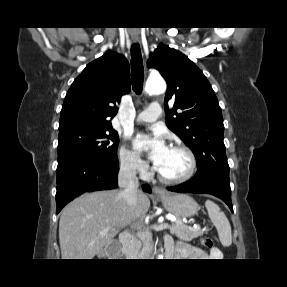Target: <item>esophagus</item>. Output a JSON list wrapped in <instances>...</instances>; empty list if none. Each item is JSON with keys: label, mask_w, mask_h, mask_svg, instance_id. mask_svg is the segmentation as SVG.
Segmentation results:
<instances>
[{"label": "esophagus", "mask_w": 287, "mask_h": 287, "mask_svg": "<svg viewBox=\"0 0 287 287\" xmlns=\"http://www.w3.org/2000/svg\"><path fill=\"white\" fill-rule=\"evenodd\" d=\"M133 41L137 42L138 38H133ZM152 192H153L154 195H163V194H165V190L162 187H159V186H154L152 188Z\"/></svg>", "instance_id": "1"}]
</instances>
